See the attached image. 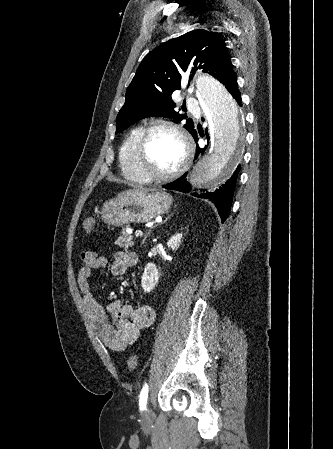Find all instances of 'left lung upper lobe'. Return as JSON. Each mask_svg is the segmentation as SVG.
I'll use <instances>...</instances> for the list:
<instances>
[{
    "label": "left lung upper lobe",
    "mask_w": 333,
    "mask_h": 449,
    "mask_svg": "<svg viewBox=\"0 0 333 449\" xmlns=\"http://www.w3.org/2000/svg\"><path fill=\"white\" fill-rule=\"evenodd\" d=\"M190 64L221 83L232 72L224 41L204 29L190 31L163 43L145 56L128 86L125 103L116 118V133L150 116L172 117L177 123L186 118L175 111L171 95L181 89V75ZM184 127L191 134L196 131L190 118Z\"/></svg>",
    "instance_id": "obj_1"
}]
</instances>
